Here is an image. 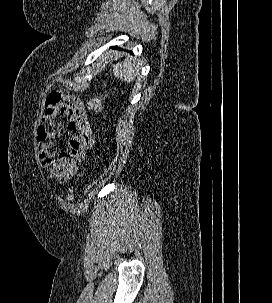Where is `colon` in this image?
Here are the masks:
<instances>
[{
  "label": "colon",
  "instance_id": "5ec220e1",
  "mask_svg": "<svg viewBox=\"0 0 272 303\" xmlns=\"http://www.w3.org/2000/svg\"><path fill=\"white\" fill-rule=\"evenodd\" d=\"M111 93H112V90L109 86L107 88V90L100 97H98L88 103L89 110L93 111V112L100 111L102 106L110 99ZM73 199H74V192L72 189H70L67 194V200L72 201Z\"/></svg>",
  "mask_w": 272,
  "mask_h": 303
}]
</instances>
